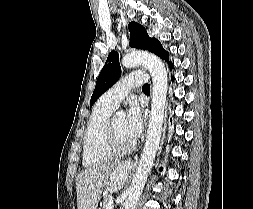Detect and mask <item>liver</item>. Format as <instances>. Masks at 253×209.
<instances>
[{"mask_svg": "<svg viewBox=\"0 0 253 209\" xmlns=\"http://www.w3.org/2000/svg\"><path fill=\"white\" fill-rule=\"evenodd\" d=\"M128 177L126 164H102L82 171L76 177L78 209H97L104 186L111 190L123 187Z\"/></svg>", "mask_w": 253, "mask_h": 209, "instance_id": "liver-1", "label": "liver"}]
</instances>
